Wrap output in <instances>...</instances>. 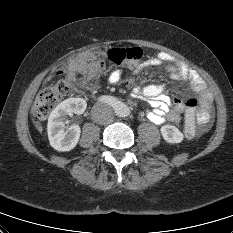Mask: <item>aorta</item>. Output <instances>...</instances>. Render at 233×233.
Instances as JSON below:
<instances>
[{
  "label": "aorta",
  "mask_w": 233,
  "mask_h": 233,
  "mask_svg": "<svg viewBox=\"0 0 233 233\" xmlns=\"http://www.w3.org/2000/svg\"><path fill=\"white\" fill-rule=\"evenodd\" d=\"M129 113H130L129 108L124 105L122 108V111H121V116H127V115H129Z\"/></svg>",
  "instance_id": "aorta-1"
}]
</instances>
